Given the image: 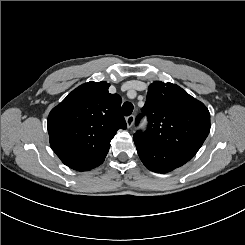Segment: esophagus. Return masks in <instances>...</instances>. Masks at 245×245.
Returning a JSON list of instances; mask_svg holds the SVG:
<instances>
[{"instance_id":"34e87169","label":"esophagus","mask_w":245,"mask_h":245,"mask_svg":"<svg viewBox=\"0 0 245 245\" xmlns=\"http://www.w3.org/2000/svg\"><path fill=\"white\" fill-rule=\"evenodd\" d=\"M127 127L130 128L134 124V115H129L126 118Z\"/></svg>"}]
</instances>
